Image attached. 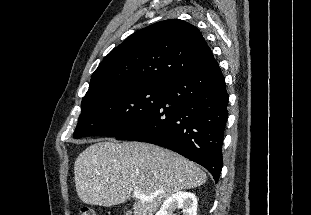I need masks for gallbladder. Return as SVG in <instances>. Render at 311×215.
<instances>
[{"label": "gallbladder", "instance_id": "1", "mask_svg": "<svg viewBox=\"0 0 311 215\" xmlns=\"http://www.w3.org/2000/svg\"><path fill=\"white\" fill-rule=\"evenodd\" d=\"M127 215H129V211H127Z\"/></svg>", "mask_w": 311, "mask_h": 215}]
</instances>
